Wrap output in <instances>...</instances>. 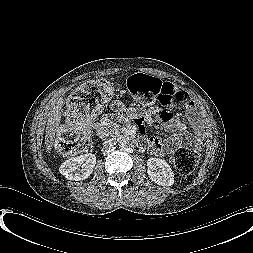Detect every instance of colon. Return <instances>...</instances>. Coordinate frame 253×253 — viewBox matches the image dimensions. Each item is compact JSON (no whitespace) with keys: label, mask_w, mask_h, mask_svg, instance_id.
Here are the masks:
<instances>
[{"label":"colon","mask_w":253,"mask_h":253,"mask_svg":"<svg viewBox=\"0 0 253 253\" xmlns=\"http://www.w3.org/2000/svg\"><path fill=\"white\" fill-rule=\"evenodd\" d=\"M126 84L131 96L141 104L158 102L169 105L178 101L174 86L161 79L134 73ZM113 85L106 80H93L80 85L69 98L66 122L58 132L57 150L63 155L83 152L89 143L87 125L100 108L114 95ZM174 165L180 175L190 174L198 162V153L188 147H180L174 153Z\"/></svg>","instance_id":"colon-1"}]
</instances>
